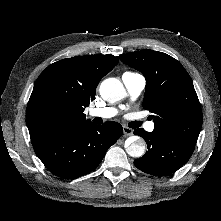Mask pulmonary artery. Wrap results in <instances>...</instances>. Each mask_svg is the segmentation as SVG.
I'll use <instances>...</instances> for the list:
<instances>
[{
    "mask_svg": "<svg viewBox=\"0 0 221 221\" xmlns=\"http://www.w3.org/2000/svg\"><path fill=\"white\" fill-rule=\"evenodd\" d=\"M123 84L130 96L131 99H136L140 96L142 91L145 88V78L141 74L126 72L122 75ZM118 110L114 107H105V108H94L91 109L88 115L92 118L98 117L102 119H108L116 116ZM155 124L149 122L146 124V129L148 131H153Z\"/></svg>",
    "mask_w": 221,
    "mask_h": 221,
    "instance_id": "pulmonary-artery-1",
    "label": "pulmonary artery"
}]
</instances>
